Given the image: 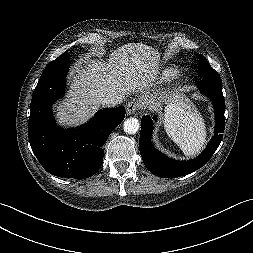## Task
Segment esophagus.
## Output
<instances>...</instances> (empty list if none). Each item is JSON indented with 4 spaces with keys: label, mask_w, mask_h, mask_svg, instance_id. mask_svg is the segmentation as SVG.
Here are the masks:
<instances>
[{
    "label": "esophagus",
    "mask_w": 253,
    "mask_h": 253,
    "mask_svg": "<svg viewBox=\"0 0 253 253\" xmlns=\"http://www.w3.org/2000/svg\"><path fill=\"white\" fill-rule=\"evenodd\" d=\"M138 108H140V104L137 101L132 100L126 106V113L128 115H132L136 112Z\"/></svg>",
    "instance_id": "esophagus-1"
}]
</instances>
